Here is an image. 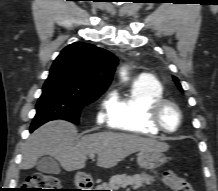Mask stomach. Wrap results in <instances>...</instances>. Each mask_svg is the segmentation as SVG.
<instances>
[{"mask_svg": "<svg viewBox=\"0 0 218 191\" xmlns=\"http://www.w3.org/2000/svg\"><path fill=\"white\" fill-rule=\"evenodd\" d=\"M166 161L167 158L163 152L157 150H142L137 154L138 165L146 170H155ZM76 178L80 179L81 174H77Z\"/></svg>", "mask_w": 218, "mask_h": 191, "instance_id": "0dacf381", "label": "stomach"}]
</instances>
